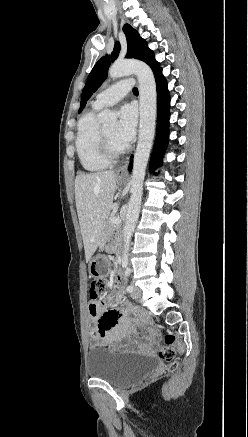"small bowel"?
<instances>
[{
  "instance_id": "small-bowel-1",
  "label": "small bowel",
  "mask_w": 248,
  "mask_h": 437,
  "mask_svg": "<svg viewBox=\"0 0 248 437\" xmlns=\"http://www.w3.org/2000/svg\"><path fill=\"white\" fill-rule=\"evenodd\" d=\"M121 284V278L116 277V293L109 298L108 302L121 298ZM108 302L96 300L89 302L90 347L109 346L124 341L122 348L126 351L141 352L146 350L147 343L145 341L154 340L155 331L150 327L144 328L142 338L145 341L140 340L136 328L128 316L129 305L124 302L125 307L122 310L109 309Z\"/></svg>"
}]
</instances>
